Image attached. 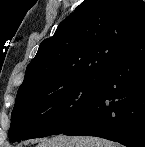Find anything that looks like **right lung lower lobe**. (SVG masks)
I'll use <instances>...</instances> for the list:
<instances>
[{
    "mask_svg": "<svg viewBox=\"0 0 145 147\" xmlns=\"http://www.w3.org/2000/svg\"><path fill=\"white\" fill-rule=\"evenodd\" d=\"M92 102L62 134L145 147V37L102 73Z\"/></svg>",
    "mask_w": 145,
    "mask_h": 147,
    "instance_id": "98d812e1",
    "label": "right lung lower lobe"
}]
</instances>
